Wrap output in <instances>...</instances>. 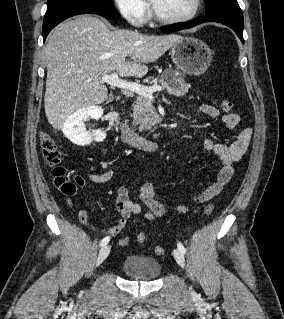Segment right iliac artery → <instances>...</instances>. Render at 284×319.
Instances as JSON below:
<instances>
[{
    "mask_svg": "<svg viewBox=\"0 0 284 319\" xmlns=\"http://www.w3.org/2000/svg\"><path fill=\"white\" fill-rule=\"evenodd\" d=\"M109 241H110L109 237L103 238L102 241L100 242V246L103 247V246L107 245Z\"/></svg>",
    "mask_w": 284,
    "mask_h": 319,
    "instance_id": "1",
    "label": "right iliac artery"
}]
</instances>
